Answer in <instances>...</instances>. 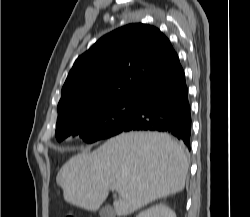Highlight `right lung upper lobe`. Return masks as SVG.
<instances>
[{
  "mask_svg": "<svg viewBox=\"0 0 250 217\" xmlns=\"http://www.w3.org/2000/svg\"><path fill=\"white\" fill-rule=\"evenodd\" d=\"M178 63L156 27L137 23L116 29L75 61L62 88L57 123L96 105L133 99Z\"/></svg>",
  "mask_w": 250,
  "mask_h": 217,
  "instance_id": "1",
  "label": "right lung upper lobe"
}]
</instances>
